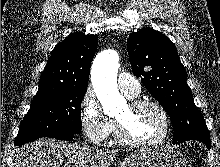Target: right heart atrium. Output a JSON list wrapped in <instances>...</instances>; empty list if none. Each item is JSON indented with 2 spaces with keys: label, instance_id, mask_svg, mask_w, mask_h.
I'll return each instance as SVG.
<instances>
[{
  "label": "right heart atrium",
  "instance_id": "d8ad5b80",
  "mask_svg": "<svg viewBox=\"0 0 220 167\" xmlns=\"http://www.w3.org/2000/svg\"><path fill=\"white\" fill-rule=\"evenodd\" d=\"M79 119L85 136L95 144L103 143L114 129L113 121L103 112L91 90H87L81 98Z\"/></svg>",
  "mask_w": 220,
  "mask_h": 167
}]
</instances>
